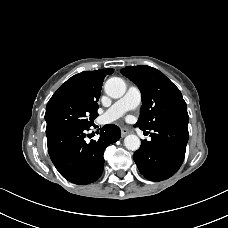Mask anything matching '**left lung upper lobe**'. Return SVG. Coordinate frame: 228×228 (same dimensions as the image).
<instances>
[{"mask_svg": "<svg viewBox=\"0 0 228 228\" xmlns=\"http://www.w3.org/2000/svg\"><path fill=\"white\" fill-rule=\"evenodd\" d=\"M121 73L133 81L142 94L137 125L153 130L170 123H188L187 106L179 89L159 70L145 66H127Z\"/></svg>", "mask_w": 228, "mask_h": 228, "instance_id": "5c2ea615", "label": "left lung upper lobe"}]
</instances>
